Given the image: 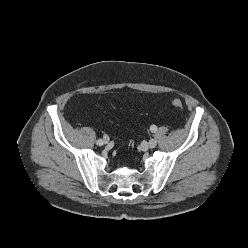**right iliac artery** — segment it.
<instances>
[{"label": "right iliac artery", "instance_id": "obj_1", "mask_svg": "<svg viewBox=\"0 0 248 248\" xmlns=\"http://www.w3.org/2000/svg\"><path fill=\"white\" fill-rule=\"evenodd\" d=\"M94 144H95V146L100 147V146H102L103 141H102V139L97 138V139H95Z\"/></svg>", "mask_w": 248, "mask_h": 248}]
</instances>
